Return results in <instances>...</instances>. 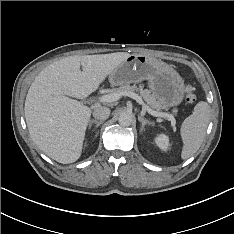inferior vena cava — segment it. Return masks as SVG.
<instances>
[{
  "label": "inferior vena cava",
  "mask_w": 234,
  "mask_h": 234,
  "mask_svg": "<svg viewBox=\"0 0 234 234\" xmlns=\"http://www.w3.org/2000/svg\"><path fill=\"white\" fill-rule=\"evenodd\" d=\"M109 115L110 109L105 106H97L93 110V116L100 121L106 120Z\"/></svg>",
  "instance_id": "602c4592"
}]
</instances>
